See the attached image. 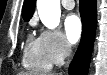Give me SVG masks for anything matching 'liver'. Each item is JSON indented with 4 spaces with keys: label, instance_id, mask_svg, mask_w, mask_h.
I'll return each instance as SVG.
<instances>
[{
    "label": "liver",
    "instance_id": "obj_1",
    "mask_svg": "<svg viewBox=\"0 0 107 75\" xmlns=\"http://www.w3.org/2000/svg\"><path fill=\"white\" fill-rule=\"evenodd\" d=\"M19 75H32V74H30L28 72H21V73H19ZM47 75H58V74H47Z\"/></svg>",
    "mask_w": 107,
    "mask_h": 75
}]
</instances>
